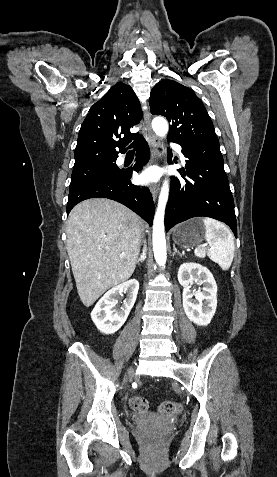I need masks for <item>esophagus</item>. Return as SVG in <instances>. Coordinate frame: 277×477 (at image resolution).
<instances>
[{"label":"esophagus","mask_w":277,"mask_h":477,"mask_svg":"<svg viewBox=\"0 0 277 477\" xmlns=\"http://www.w3.org/2000/svg\"><path fill=\"white\" fill-rule=\"evenodd\" d=\"M144 125H145V129L148 133V137H149V143H150V147H151L152 158H153V160H156L160 156L159 151H158L159 142L157 140L156 135L152 131L151 116H150V113L148 111L144 112ZM150 189H151L153 200L156 201L157 195H158V192H159V185L152 184Z\"/></svg>","instance_id":"esophagus-1"}]
</instances>
